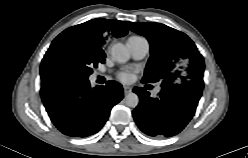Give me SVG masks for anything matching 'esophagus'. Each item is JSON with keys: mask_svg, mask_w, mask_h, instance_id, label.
I'll list each match as a JSON object with an SVG mask.
<instances>
[{"mask_svg": "<svg viewBox=\"0 0 248 158\" xmlns=\"http://www.w3.org/2000/svg\"><path fill=\"white\" fill-rule=\"evenodd\" d=\"M123 91H124V94L126 95L132 91V88L129 86H124Z\"/></svg>", "mask_w": 248, "mask_h": 158, "instance_id": "esophagus-1", "label": "esophagus"}]
</instances>
